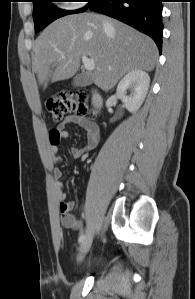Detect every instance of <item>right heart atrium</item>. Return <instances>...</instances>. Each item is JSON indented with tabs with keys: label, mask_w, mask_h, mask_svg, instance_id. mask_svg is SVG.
Listing matches in <instances>:
<instances>
[{
	"label": "right heart atrium",
	"mask_w": 195,
	"mask_h": 299,
	"mask_svg": "<svg viewBox=\"0 0 195 299\" xmlns=\"http://www.w3.org/2000/svg\"><path fill=\"white\" fill-rule=\"evenodd\" d=\"M70 2H72L69 4V8H71V9H76L80 6V1L74 0V1H70Z\"/></svg>",
	"instance_id": "d8ad5b80"
}]
</instances>
